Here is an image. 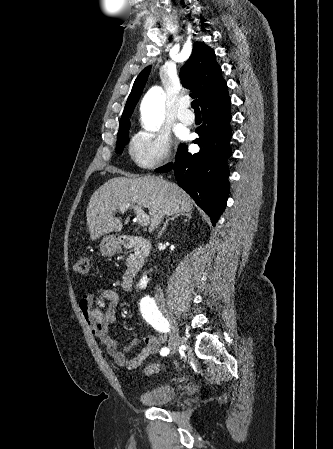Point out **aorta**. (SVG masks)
<instances>
[{
    "label": "aorta",
    "mask_w": 333,
    "mask_h": 449,
    "mask_svg": "<svg viewBox=\"0 0 333 449\" xmlns=\"http://www.w3.org/2000/svg\"><path fill=\"white\" fill-rule=\"evenodd\" d=\"M165 113L164 91L154 87L146 94L141 105V115L147 130L155 131L162 124Z\"/></svg>",
    "instance_id": "aorta-1"
}]
</instances>
